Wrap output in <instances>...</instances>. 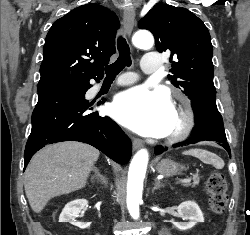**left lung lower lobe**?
Returning a JSON list of instances; mask_svg holds the SVG:
<instances>
[{
  "label": "left lung lower lobe",
  "mask_w": 250,
  "mask_h": 235,
  "mask_svg": "<svg viewBox=\"0 0 250 235\" xmlns=\"http://www.w3.org/2000/svg\"><path fill=\"white\" fill-rule=\"evenodd\" d=\"M192 105L195 113L196 127L193 129L194 137L187 144H193L201 141H216L224 147L231 156L230 147L226 143L223 119L216 106V94L211 93L198 96L192 99ZM177 144L174 147L181 146ZM162 146L155 148V153L160 154L165 150Z\"/></svg>",
  "instance_id": "obj_1"
}]
</instances>
